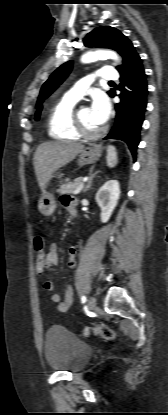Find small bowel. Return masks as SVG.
Returning <instances> with one entry per match:
<instances>
[{"label":"small bowel","mask_w":168,"mask_h":415,"mask_svg":"<svg viewBox=\"0 0 168 415\" xmlns=\"http://www.w3.org/2000/svg\"><path fill=\"white\" fill-rule=\"evenodd\" d=\"M61 202L69 211H73L76 205L75 199L69 195H63L61 197ZM47 253V265L50 268L52 265L58 262V248L56 244H51L49 246ZM69 261L68 266L74 268L76 266V248L71 247L69 249ZM47 268V269H48ZM44 275V274H43ZM42 275V276H43ZM43 288L45 291H52L54 284L51 280H45L43 283ZM74 289L71 285H68L65 289L64 296L61 298L59 294H52L50 299L56 305V308L61 312H66L70 309L73 303Z\"/></svg>","instance_id":"c3829d8e"}]
</instances>
